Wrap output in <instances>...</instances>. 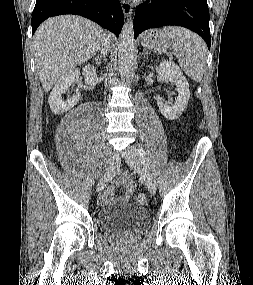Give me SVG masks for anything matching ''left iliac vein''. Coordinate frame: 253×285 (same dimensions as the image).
I'll return each mask as SVG.
<instances>
[{
	"label": "left iliac vein",
	"mask_w": 253,
	"mask_h": 285,
	"mask_svg": "<svg viewBox=\"0 0 253 285\" xmlns=\"http://www.w3.org/2000/svg\"><path fill=\"white\" fill-rule=\"evenodd\" d=\"M125 159L130 168L141 173L149 192L154 194L156 192V182L151 172L144 167V162L139 154L138 148L132 145L129 146L125 154Z\"/></svg>",
	"instance_id": "1"
}]
</instances>
